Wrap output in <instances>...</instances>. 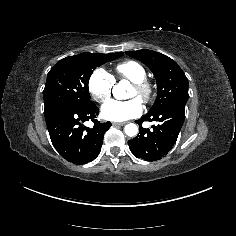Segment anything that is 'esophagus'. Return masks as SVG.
Returning <instances> with one entry per match:
<instances>
[{"instance_id":"esophagus-1","label":"esophagus","mask_w":236,"mask_h":236,"mask_svg":"<svg viewBox=\"0 0 236 236\" xmlns=\"http://www.w3.org/2000/svg\"><path fill=\"white\" fill-rule=\"evenodd\" d=\"M125 124H126V122H113L112 123L113 126H123Z\"/></svg>"}]
</instances>
